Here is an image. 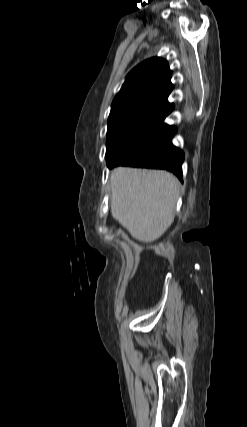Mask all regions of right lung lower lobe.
<instances>
[{
	"label": "right lung lower lobe",
	"instance_id": "1",
	"mask_svg": "<svg viewBox=\"0 0 247 427\" xmlns=\"http://www.w3.org/2000/svg\"><path fill=\"white\" fill-rule=\"evenodd\" d=\"M173 109L174 105L168 103L141 121L119 146L107 163L108 167L125 165L166 169L182 180L184 153L171 143L177 128L164 124V119Z\"/></svg>",
	"mask_w": 247,
	"mask_h": 427
}]
</instances>
